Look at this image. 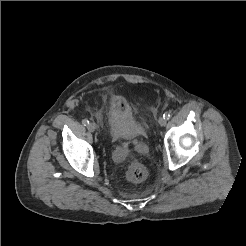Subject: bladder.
<instances>
[{
    "label": "bladder",
    "mask_w": 246,
    "mask_h": 246,
    "mask_svg": "<svg viewBox=\"0 0 246 246\" xmlns=\"http://www.w3.org/2000/svg\"><path fill=\"white\" fill-rule=\"evenodd\" d=\"M107 131L112 140L129 141L141 137L145 128L130 107L114 97L107 108Z\"/></svg>",
    "instance_id": "1"
}]
</instances>
